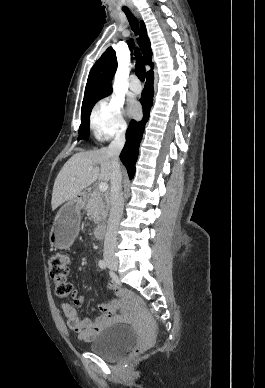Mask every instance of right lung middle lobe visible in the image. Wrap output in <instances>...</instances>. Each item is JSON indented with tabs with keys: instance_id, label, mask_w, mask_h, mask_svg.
<instances>
[{
	"instance_id": "dd1d6c3e",
	"label": "right lung middle lobe",
	"mask_w": 265,
	"mask_h": 388,
	"mask_svg": "<svg viewBox=\"0 0 265 388\" xmlns=\"http://www.w3.org/2000/svg\"><path fill=\"white\" fill-rule=\"evenodd\" d=\"M111 92L112 91L96 95V96H94V97H92V98H90L87 101L82 103L81 125L79 127V137H78V140L79 139H87L88 138V135H89V118H90L91 110H92L93 106L95 105V103L98 100H100V99L110 95Z\"/></svg>"
}]
</instances>
